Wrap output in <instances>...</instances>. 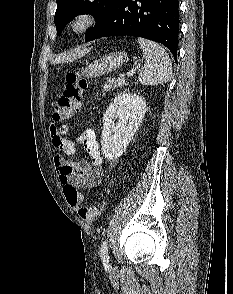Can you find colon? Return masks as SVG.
I'll list each match as a JSON object with an SVG mask.
<instances>
[{"mask_svg":"<svg viewBox=\"0 0 233 294\" xmlns=\"http://www.w3.org/2000/svg\"><path fill=\"white\" fill-rule=\"evenodd\" d=\"M86 87L85 79L79 78L75 72L66 75V85L53 108V118L56 120H69L77 115L82 104V94ZM64 195L67 202L75 208L80 218L86 222H93L100 214L98 207L83 205V195L74 187L66 186Z\"/></svg>","mask_w":233,"mask_h":294,"instance_id":"5ec220e1","label":"colon"}]
</instances>
